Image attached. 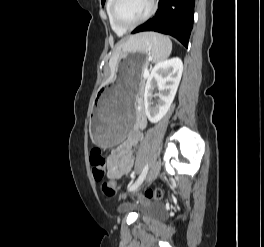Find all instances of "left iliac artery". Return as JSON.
I'll list each match as a JSON object with an SVG mask.
<instances>
[{
    "instance_id": "44dca946",
    "label": "left iliac artery",
    "mask_w": 264,
    "mask_h": 247,
    "mask_svg": "<svg viewBox=\"0 0 264 247\" xmlns=\"http://www.w3.org/2000/svg\"><path fill=\"white\" fill-rule=\"evenodd\" d=\"M148 164L144 167L142 173L140 174L139 178L136 180V182L132 185L129 186L128 190L129 191H134L136 190L141 184L142 182L144 181L146 175H147V172H148Z\"/></svg>"
}]
</instances>
